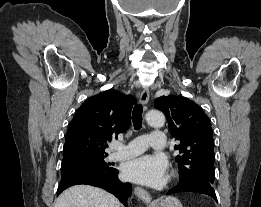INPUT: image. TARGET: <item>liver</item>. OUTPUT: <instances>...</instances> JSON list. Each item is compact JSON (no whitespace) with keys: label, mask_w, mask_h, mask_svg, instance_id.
Returning a JSON list of instances; mask_svg holds the SVG:
<instances>
[{"label":"liver","mask_w":261,"mask_h":207,"mask_svg":"<svg viewBox=\"0 0 261 207\" xmlns=\"http://www.w3.org/2000/svg\"><path fill=\"white\" fill-rule=\"evenodd\" d=\"M54 207H120V202L100 188L75 185L60 194Z\"/></svg>","instance_id":"6515ba94"}]
</instances>
